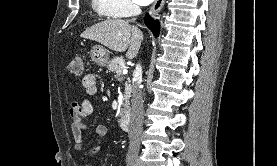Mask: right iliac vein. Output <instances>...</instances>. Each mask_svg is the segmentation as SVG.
<instances>
[{
	"instance_id": "right-iliac-vein-1",
	"label": "right iliac vein",
	"mask_w": 277,
	"mask_h": 166,
	"mask_svg": "<svg viewBox=\"0 0 277 166\" xmlns=\"http://www.w3.org/2000/svg\"><path fill=\"white\" fill-rule=\"evenodd\" d=\"M127 166H138L136 162L130 161L127 163Z\"/></svg>"
}]
</instances>
